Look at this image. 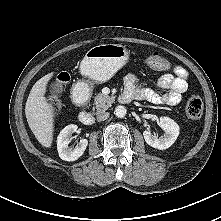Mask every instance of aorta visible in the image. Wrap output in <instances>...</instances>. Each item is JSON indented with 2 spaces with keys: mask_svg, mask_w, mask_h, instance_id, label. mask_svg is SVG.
Instances as JSON below:
<instances>
[{
  "mask_svg": "<svg viewBox=\"0 0 221 221\" xmlns=\"http://www.w3.org/2000/svg\"><path fill=\"white\" fill-rule=\"evenodd\" d=\"M127 113V110L124 106H117L114 110V114L118 117V118H123Z\"/></svg>",
  "mask_w": 221,
  "mask_h": 221,
  "instance_id": "1",
  "label": "aorta"
}]
</instances>
